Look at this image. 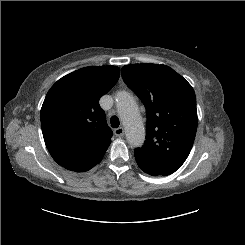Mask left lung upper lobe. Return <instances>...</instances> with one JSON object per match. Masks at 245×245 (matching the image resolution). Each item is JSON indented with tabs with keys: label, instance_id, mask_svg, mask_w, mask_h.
<instances>
[{
	"label": "left lung upper lobe",
	"instance_id": "obj_1",
	"mask_svg": "<svg viewBox=\"0 0 245 245\" xmlns=\"http://www.w3.org/2000/svg\"><path fill=\"white\" fill-rule=\"evenodd\" d=\"M127 86L141 99L147 113L145 144L135 156L151 164L176 169L187 159L197 130L192 86L166 65L131 64L122 68Z\"/></svg>",
	"mask_w": 245,
	"mask_h": 245
}]
</instances>
